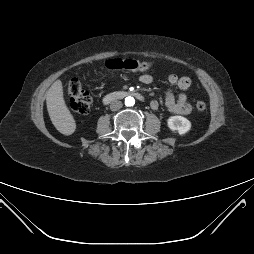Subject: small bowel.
Instances as JSON below:
<instances>
[{
  "label": "small bowel",
  "instance_id": "obj_1",
  "mask_svg": "<svg viewBox=\"0 0 254 254\" xmlns=\"http://www.w3.org/2000/svg\"><path fill=\"white\" fill-rule=\"evenodd\" d=\"M141 83L149 85L153 81L152 75L144 73L139 77ZM167 82L170 86H176L181 90L177 95L174 94L173 90L170 88L166 92L165 106L169 112L179 115H187L191 112L192 107L188 102L187 91L191 86V80L189 77L182 76L179 77L175 74H170L167 77ZM150 106L153 110H158L159 103L156 100L151 101Z\"/></svg>",
  "mask_w": 254,
  "mask_h": 254
}]
</instances>
